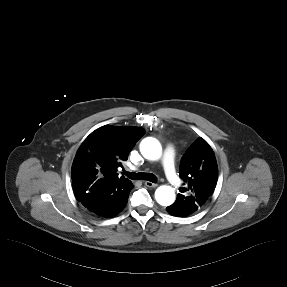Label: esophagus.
Wrapping results in <instances>:
<instances>
[{"label": "esophagus", "instance_id": "obj_1", "mask_svg": "<svg viewBox=\"0 0 287 287\" xmlns=\"http://www.w3.org/2000/svg\"><path fill=\"white\" fill-rule=\"evenodd\" d=\"M144 184L150 188H156L158 186V184L152 183L150 181H146Z\"/></svg>", "mask_w": 287, "mask_h": 287}]
</instances>
